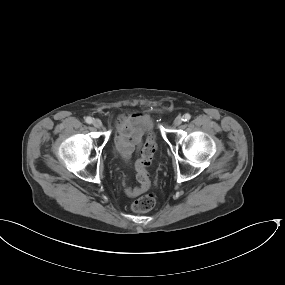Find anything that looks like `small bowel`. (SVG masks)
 <instances>
[{
  "mask_svg": "<svg viewBox=\"0 0 285 285\" xmlns=\"http://www.w3.org/2000/svg\"><path fill=\"white\" fill-rule=\"evenodd\" d=\"M142 117L143 116L138 114L129 113H123L119 117V122L116 128L115 143L117 151L124 159H128L140 144L142 131H134L131 129V126L133 121ZM144 191L145 190L136 187L133 189L127 188L125 193L129 197H137Z\"/></svg>",
  "mask_w": 285,
  "mask_h": 285,
  "instance_id": "obj_1",
  "label": "small bowel"
}]
</instances>
